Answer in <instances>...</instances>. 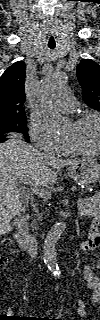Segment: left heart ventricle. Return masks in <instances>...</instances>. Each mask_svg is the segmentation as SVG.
<instances>
[{
  "instance_id": "b2bd125f",
  "label": "left heart ventricle",
  "mask_w": 100,
  "mask_h": 320,
  "mask_svg": "<svg viewBox=\"0 0 100 320\" xmlns=\"http://www.w3.org/2000/svg\"><path fill=\"white\" fill-rule=\"evenodd\" d=\"M64 136L74 140L85 149L95 150L99 144V126L95 120H88L81 125L72 123Z\"/></svg>"
}]
</instances>
